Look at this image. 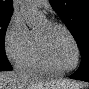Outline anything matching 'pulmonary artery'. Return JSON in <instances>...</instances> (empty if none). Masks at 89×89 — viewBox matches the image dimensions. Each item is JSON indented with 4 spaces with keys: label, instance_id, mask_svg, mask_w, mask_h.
<instances>
[{
    "label": "pulmonary artery",
    "instance_id": "pulmonary-artery-1",
    "mask_svg": "<svg viewBox=\"0 0 89 89\" xmlns=\"http://www.w3.org/2000/svg\"><path fill=\"white\" fill-rule=\"evenodd\" d=\"M34 3H35L38 7H43V6L47 5V1H46V0H37V1H34Z\"/></svg>",
    "mask_w": 89,
    "mask_h": 89
}]
</instances>
